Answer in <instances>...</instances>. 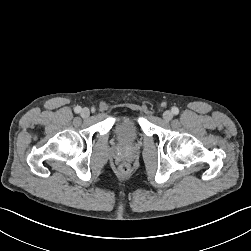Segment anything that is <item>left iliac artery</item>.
<instances>
[{
  "mask_svg": "<svg viewBox=\"0 0 251 251\" xmlns=\"http://www.w3.org/2000/svg\"><path fill=\"white\" fill-rule=\"evenodd\" d=\"M173 114L177 115L179 113V109L177 107L172 108Z\"/></svg>",
  "mask_w": 251,
  "mask_h": 251,
  "instance_id": "left-iliac-artery-1",
  "label": "left iliac artery"
}]
</instances>
